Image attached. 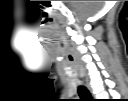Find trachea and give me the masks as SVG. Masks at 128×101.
Wrapping results in <instances>:
<instances>
[{
	"label": "trachea",
	"instance_id": "trachea-1",
	"mask_svg": "<svg viewBox=\"0 0 128 101\" xmlns=\"http://www.w3.org/2000/svg\"><path fill=\"white\" fill-rule=\"evenodd\" d=\"M78 94L80 96V101H91L92 97L89 91L84 86L78 87Z\"/></svg>",
	"mask_w": 128,
	"mask_h": 101
}]
</instances>
